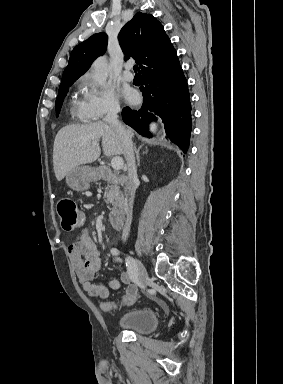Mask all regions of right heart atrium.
I'll return each mask as SVG.
<instances>
[{
	"label": "right heart atrium",
	"mask_w": 283,
	"mask_h": 384,
	"mask_svg": "<svg viewBox=\"0 0 283 384\" xmlns=\"http://www.w3.org/2000/svg\"><path fill=\"white\" fill-rule=\"evenodd\" d=\"M83 93L82 119L99 126L121 110L119 97L114 89L105 83L97 82L90 73H86L80 84Z\"/></svg>",
	"instance_id": "right-heart-atrium-1"
}]
</instances>
